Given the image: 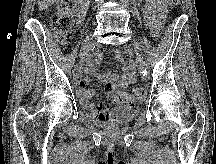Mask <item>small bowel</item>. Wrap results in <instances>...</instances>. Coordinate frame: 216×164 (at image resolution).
<instances>
[{
	"label": "small bowel",
	"instance_id": "small-bowel-1",
	"mask_svg": "<svg viewBox=\"0 0 216 164\" xmlns=\"http://www.w3.org/2000/svg\"><path fill=\"white\" fill-rule=\"evenodd\" d=\"M168 1L169 0H147L146 18L156 33H158L160 29L161 20L163 19ZM117 57L120 59L119 53ZM99 60L100 54L91 55L85 63V71L94 75ZM122 71L123 74L120 77L112 73L100 77L107 83L109 91L108 104L106 106L101 103L95 104L92 102V99L96 96V92L92 89H87L90 78L84 77L80 70L74 72L77 94L83 108L91 117L97 120H108L115 115L119 104L115 99V94L133 83L136 75V68L132 61L123 63Z\"/></svg>",
	"mask_w": 216,
	"mask_h": 164
}]
</instances>
